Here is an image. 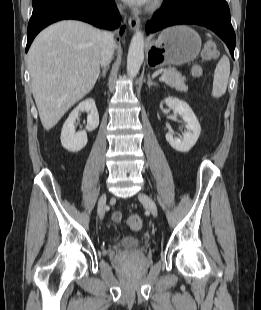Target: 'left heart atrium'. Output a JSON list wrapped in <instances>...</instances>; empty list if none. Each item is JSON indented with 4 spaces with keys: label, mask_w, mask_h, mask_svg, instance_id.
<instances>
[{
    "label": "left heart atrium",
    "mask_w": 261,
    "mask_h": 310,
    "mask_svg": "<svg viewBox=\"0 0 261 310\" xmlns=\"http://www.w3.org/2000/svg\"><path fill=\"white\" fill-rule=\"evenodd\" d=\"M123 1L130 5L142 6L149 3L150 0H123Z\"/></svg>",
    "instance_id": "left-heart-atrium-1"
}]
</instances>
